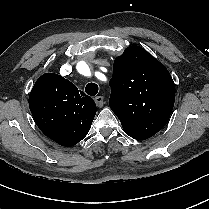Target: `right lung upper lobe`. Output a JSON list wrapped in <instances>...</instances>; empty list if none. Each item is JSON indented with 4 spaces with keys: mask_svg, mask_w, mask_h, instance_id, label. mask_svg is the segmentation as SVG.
Listing matches in <instances>:
<instances>
[{
    "mask_svg": "<svg viewBox=\"0 0 209 209\" xmlns=\"http://www.w3.org/2000/svg\"><path fill=\"white\" fill-rule=\"evenodd\" d=\"M29 108L39 129L66 147L88 134L96 114L91 97L54 73L43 74L36 81L29 95Z\"/></svg>",
    "mask_w": 209,
    "mask_h": 209,
    "instance_id": "obj_1",
    "label": "right lung upper lobe"
}]
</instances>
